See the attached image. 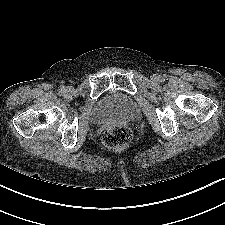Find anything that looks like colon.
<instances>
[{
  "label": "colon",
  "instance_id": "obj_1",
  "mask_svg": "<svg viewBox=\"0 0 225 225\" xmlns=\"http://www.w3.org/2000/svg\"><path fill=\"white\" fill-rule=\"evenodd\" d=\"M132 139L131 129L123 125L112 126L102 135V143L107 148H122L128 145Z\"/></svg>",
  "mask_w": 225,
  "mask_h": 225
}]
</instances>
